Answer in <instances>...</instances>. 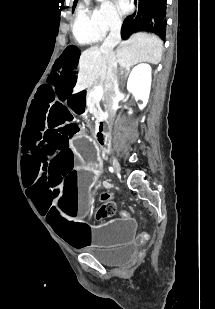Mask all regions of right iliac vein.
Listing matches in <instances>:
<instances>
[{"label":"right iliac vein","instance_id":"obj_1","mask_svg":"<svg viewBox=\"0 0 215 309\" xmlns=\"http://www.w3.org/2000/svg\"><path fill=\"white\" fill-rule=\"evenodd\" d=\"M112 164H113V167L115 168L116 171H120V165H119L116 158L112 159Z\"/></svg>","mask_w":215,"mask_h":309}]
</instances>
